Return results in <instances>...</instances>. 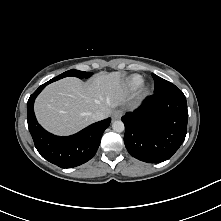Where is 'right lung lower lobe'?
Here are the masks:
<instances>
[{
	"label": "right lung lower lobe",
	"mask_w": 221,
	"mask_h": 221,
	"mask_svg": "<svg viewBox=\"0 0 221 221\" xmlns=\"http://www.w3.org/2000/svg\"><path fill=\"white\" fill-rule=\"evenodd\" d=\"M48 84L49 81L41 85L27 102L28 128L35 147L42 157L61 168L79 166L95 155L111 118L94 123L71 136L52 135L38 124L33 110L35 98Z\"/></svg>",
	"instance_id": "right-lung-lower-lobe-1"
}]
</instances>
